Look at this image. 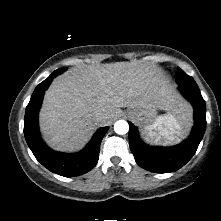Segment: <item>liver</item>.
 I'll return each mask as SVG.
<instances>
[{
  "instance_id": "obj_1",
  "label": "liver",
  "mask_w": 221,
  "mask_h": 221,
  "mask_svg": "<svg viewBox=\"0 0 221 221\" xmlns=\"http://www.w3.org/2000/svg\"><path fill=\"white\" fill-rule=\"evenodd\" d=\"M121 107L155 108L176 116L190 111L152 67L116 62L74 68L54 79L44 96L40 129L54 150L78 151L96 126L108 125L119 116ZM96 113L106 118L96 122Z\"/></svg>"
}]
</instances>
